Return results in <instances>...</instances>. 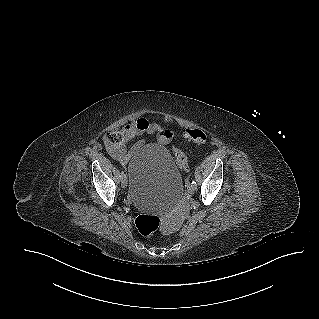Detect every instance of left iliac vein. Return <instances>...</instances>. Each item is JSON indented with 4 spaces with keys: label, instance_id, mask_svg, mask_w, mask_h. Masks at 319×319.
<instances>
[{
    "label": "left iliac vein",
    "instance_id": "1",
    "mask_svg": "<svg viewBox=\"0 0 319 319\" xmlns=\"http://www.w3.org/2000/svg\"><path fill=\"white\" fill-rule=\"evenodd\" d=\"M195 189H196V187L194 185H191V184L187 187V191L191 195L194 194Z\"/></svg>",
    "mask_w": 319,
    "mask_h": 319
}]
</instances>
